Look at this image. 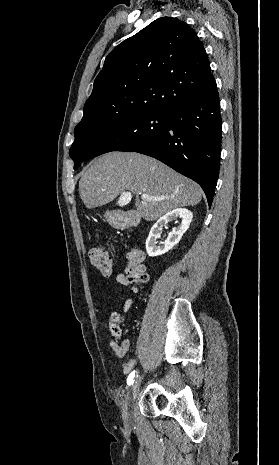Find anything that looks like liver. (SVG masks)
<instances>
[{
    "label": "liver",
    "instance_id": "obj_1",
    "mask_svg": "<svg viewBox=\"0 0 279 465\" xmlns=\"http://www.w3.org/2000/svg\"><path fill=\"white\" fill-rule=\"evenodd\" d=\"M130 191L136 196V213L154 221L180 207L201 201L202 189L194 181L164 163L135 152L106 153L91 161L82 171L79 194L87 209L103 206ZM164 198L140 201L139 195Z\"/></svg>",
    "mask_w": 279,
    "mask_h": 465
}]
</instances>
